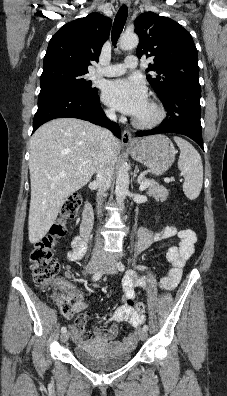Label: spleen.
<instances>
[{"label":"spleen","instance_id":"obj_1","mask_svg":"<svg viewBox=\"0 0 227 396\" xmlns=\"http://www.w3.org/2000/svg\"><path fill=\"white\" fill-rule=\"evenodd\" d=\"M174 141L180 149L178 168L184 176L183 191L189 199H196L203 184V165L200 154L183 138L176 136Z\"/></svg>","mask_w":227,"mask_h":396}]
</instances>
